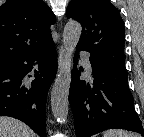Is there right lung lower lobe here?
I'll use <instances>...</instances> for the list:
<instances>
[{
    "label": "right lung lower lobe",
    "instance_id": "1",
    "mask_svg": "<svg viewBox=\"0 0 144 137\" xmlns=\"http://www.w3.org/2000/svg\"><path fill=\"white\" fill-rule=\"evenodd\" d=\"M57 71L53 40L0 68V116L17 118L46 137L45 108ZM34 73V79L28 73Z\"/></svg>",
    "mask_w": 144,
    "mask_h": 137
}]
</instances>
